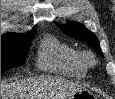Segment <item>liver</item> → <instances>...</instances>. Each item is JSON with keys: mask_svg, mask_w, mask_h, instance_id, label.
<instances>
[{"mask_svg": "<svg viewBox=\"0 0 115 99\" xmlns=\"http://www.w3.org/2000/svg\"><path fill=\"white\" fill-rule=\"evenodd\" d=\"M80 89V85L60 78H26L1 82V99H67Z\"/></svg>", "mask_w": 115, "mask_h": 99, "instance_id": "6515ba94", "label": "liver"}]
</instances>
